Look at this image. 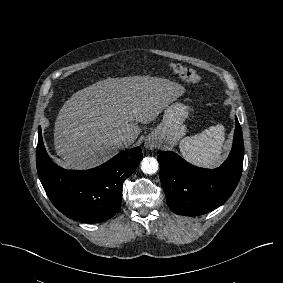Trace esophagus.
Instances as JSON below:
<instances>
[{
    "label": "esophagus",
    "mask_w": 283,
    "mask_h": 283,
    "mask_svg": "<svg viewBox=\"0 0 283 283\" xmlns=\"http://www.w3.org/2000/svg\"><path fill=\"white\" fill-rule=\"evenodd\" d=\"M154 145L152 143H145V148L148 150H152Z\"/></svg>",
    "instance_id": "obj_1"
}]
</instances>
